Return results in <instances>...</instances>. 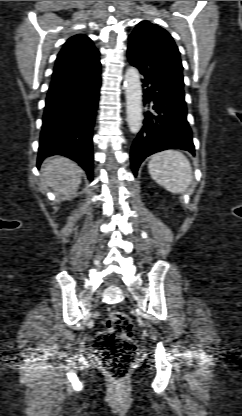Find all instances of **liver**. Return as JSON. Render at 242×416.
I'll return each mask as SVG.
<instances>
[{
	"label": "liver",
	"instance_id": "liver-1",
	"mask_svg": "<svg viewBox=\"0 0 242 416\" xmlns=\"http://www.w3.org/2000/svg\"><path fill=\"white\" fill-rule=\"evenodd\" d=\"M82 169L72 160L54 156L42 165V180L57 196L68 200L74 197L81 184Z\"/></svg>",
	"mask_w": 242,
	"mask_h": 416
}]
</instances>
